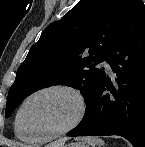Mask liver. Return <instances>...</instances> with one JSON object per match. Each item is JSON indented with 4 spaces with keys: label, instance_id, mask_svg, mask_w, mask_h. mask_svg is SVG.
Listing matches in <instances>:
<instances>
[{
    "label": "liver",
    "instance_id": "obj_1",
    "mask_svg": "<svg viewBox=\"0 0 145 147\" xmlns=\"http://www.w3.org/2000/svg\"><path fill=\"white\" fill-rule=\"evenodd\" d=\"M66 142V139H60L56 142L49 144L47 147H63Z\"/></svg>",
    "mask_w": 145,
    "mask_h": 147
}]
</instances>
